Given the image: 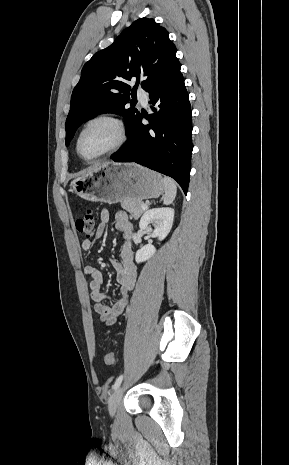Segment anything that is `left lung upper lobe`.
Wrapping results in <instances>:
<instances>
[{"mask_svg": "<svg viewBox=\"0 0 289 465\" xmlns=\"http://www.w3.org/2000/svg\"><path fill=\"white\" fill-rule=\"evenodd\" d=\"M176 47L165 28L154 19L140 18L126 28L109 47L97 52L84 65L75 86L67 116L66 145L77 128L101 113H115L128 120L126 133L140 115L131 104L139 82L144 90L164 79L180 66ZM136 79L131 88L127 81Z\"/></svg>", "mask_w": 289, "mask_h": 465, "instance_id": "left-lung-upper-lobe-1", "label": "left lung upper lobe"}]
</instances>
